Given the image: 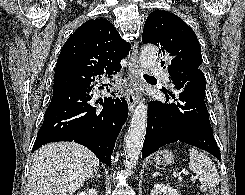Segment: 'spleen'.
<instances>
[{
  "label": "spleen",
  "mask_w": 245,
  "mask_h": 195,
  "mask_svg": "<svg viewBox=\"0 0 245 195\" xmlns=\"http://www.w3.org/2000/svg\"><path fill=\"white\" fill-rule=\"evenodd\" d=\"M189 169L199 176L200 191L213 190L219 185L220 176L214 162L203 152L189 149Z\"/></svg>",
  "instance_id": "obj_1"
}]
</instances>
